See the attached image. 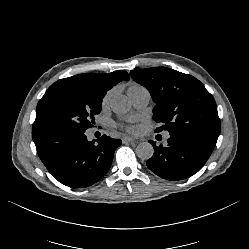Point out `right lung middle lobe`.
Returning <instances> with one entry per match:
<instances>
[{
    "mask_svg": "<svg viewBox=\"0 0 249 249\" xmlns=\"http://www.w3.org/2000/svg\"><path fill=\"white\" fill-rule=\"evenodd\" d=\"M104 94L84 81L61 79L52 84L39 100L35 129L86 131L101 111Z\"/></svg>",
    "mask_w": 249,
    "mask_h": 249,
    "instance_id": "obj_1",
    "label": "right lung middle lobe"
}]
</instances>
